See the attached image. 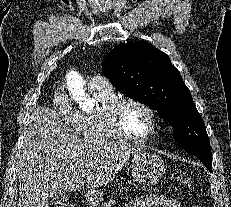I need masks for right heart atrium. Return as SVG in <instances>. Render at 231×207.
<instances>
[{
  "instance_id": "d8ad5b80",
  "label": "right heart atrium",
  "mask_w": 231,
  "mask_h": 207,
  "mask_svg": "<svg viewBox=\"0 0 231 207\" xmlns=\"http://www.w3.org/2000/svg\"><path fill=\"white\" fill-rule=\"evenodd\" d=\"M51 103L62 123L68 127H76L78 113L72 109L69 99L64 91H55L52 95Z\"/></svg>"
}]
</instances>
